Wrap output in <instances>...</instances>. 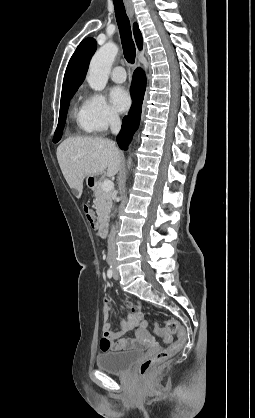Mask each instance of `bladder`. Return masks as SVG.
I'll return each mask as SVG.
<instances>
[{
	"instance_id": "obj_1",
	"label": "bladder",
	"mask_w": 255,
	"mask_h": 418,
	"mask_svg": "<svg viewBox=\"0 0 255 418\" xmlns=\"http://www.w3.org/2000/svg\"><path fill=\"white\" fill-rule=\"evenodd\" d=\"M141 355L142 350L138 348L108 351L96 357V365L105 372L121 374L125 373Z\"/></svg>"
}]
</instances>
